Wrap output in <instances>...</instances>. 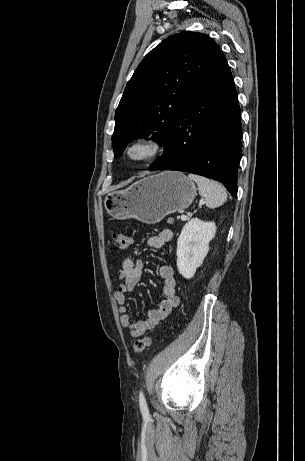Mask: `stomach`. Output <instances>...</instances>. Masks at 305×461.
Instances as JSON below:
<instances>
[{"mask_svg": "<svg viewBox=\"0 0 305 461\" xmlns=\"http://www.w3.org/2000/svg\"><path fill=\"white\" fill-rule=\"evenodd\" d=\"M196 194L195 184L183 173L164 171L107 194L104 207L115 219L134 218L154 224L168 214L188 208Z\"/></svg>", "mask_w": 305, "mask_h": 461, "instance_id": "1", "label": "stomach"}]
</instances>
